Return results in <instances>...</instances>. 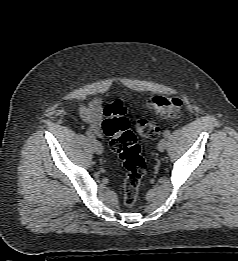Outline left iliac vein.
I'll use <instances>...</instances> for the list:
<instances>
[{
    "label": "left iliac vein",
    "mask_w": 238,
    "mask_h": 261,
    "mask_svg": "<svg viewBox=\"0 0 238 261\" xmlns=\"http://www.w3.org/2000/svg\"><path fill=\"white\" fill-rule=\"evenodd\" d=\"M167 147V141L165 138L161 139L158 143V150L160 152H163Z\"/></svg>",
    "instance_id": "obj_1"
}]
</instances>
